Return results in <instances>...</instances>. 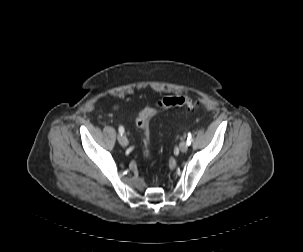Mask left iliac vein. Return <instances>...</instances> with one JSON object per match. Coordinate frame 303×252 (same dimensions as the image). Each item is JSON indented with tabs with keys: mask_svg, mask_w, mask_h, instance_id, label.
<instances>
[{
	"mask_svg": "<svg viewBox=\"0 0 303 252\" xmlns=\"http://www.w3.org/2000/svg\"><path fill=\"white\" fill-rule=\"evenodd\" d=\"M179 149L181 152H186L188 150V144L187 142L183 141L179 145Z\"/></svg>",
	"mask_w": 303,
	"mask_h": 252,
	"instance_id": "1",
	"label": "left iliac vein"
}]
</instances>
